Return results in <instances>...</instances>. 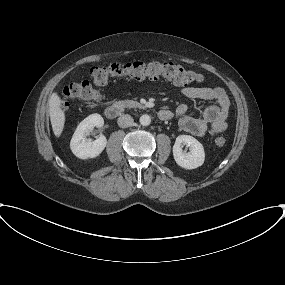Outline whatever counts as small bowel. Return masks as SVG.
<instances>
[{
	"label": "small bowel",
	"mask_w": 285,
	"mask_h": 285,
	"mask_svg": "<svg viewBox=\"0 0 285 285\" xmlns=\"http://www.w3.org/2000/svg\"><path fill=\"white\" fill-rule=\"evenodd\" d=\"M181 92L190 99L215 102L200 116L191 115L189 107L180 104L175 111V117L181 129L195 136L216 135L226 130L230 101L224 89L208 85L183 86Z\"/></svg>",
	"instance_id": "small-bowel-1"
}]
</instances>
